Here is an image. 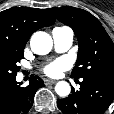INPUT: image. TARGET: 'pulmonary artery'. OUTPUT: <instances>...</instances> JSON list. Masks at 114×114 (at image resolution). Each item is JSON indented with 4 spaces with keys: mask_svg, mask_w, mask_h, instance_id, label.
<instances>
[{
    "mask_svg": "<svg viewBox=\"0 0 114 114\" xmlns=\"http://www.w3.org/2000/svg\"><path fill=\"white\" fill-rule=\"evenodd\" d=\"M74 33L73 30L69 27H55L52 30V39L54 48L57 52L67 51L73 42Z\"/></svg>",
    "mask_w": 114,
    "mask_h": 114,
    "instance_id": "e3ab8cb5",
    "label": "pulmonary artery"
}]
</instances>
